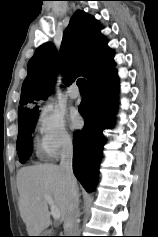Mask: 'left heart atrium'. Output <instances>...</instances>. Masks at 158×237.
Returning <instances> with one entry per match:
<instances>
[{
    "mask_svg": "<svg viewBox=\"0 0 158 237\" xmlns=\"http://www.w3.org/2000/svg\"><path fill=\"white\" fill-rule=\"evenodd\" d=\"M69 120H70L71 126L73 128L77 129L83 125L82 117L77 111L71 112V114L69 116Z\"/></svg>",
    "mask_w": 158,
    "mask_h": 237,
    "instance_id": "obj_1",
    "label": "left heart atrium"
}]
</instances>
